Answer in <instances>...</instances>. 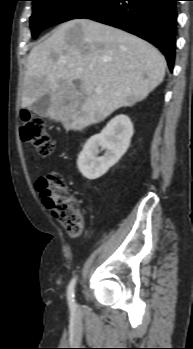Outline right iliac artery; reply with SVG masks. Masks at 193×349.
I'll return each mask as SVG.
<instances>
[{
    "mask_svg": "<svg viewBox=\"0 0 193 349\" xmlns=\"http://www.w3.org/2000/svg\"><path fill=\"white\" fill-rule=\"evenodd\" d=\"M75 284H76V277H74L71 282L68 285V290H67V299H68V304L69 308L71 311H75L76 309V304H75V295H74V289H75Z\"/></svg>",
    "mask_w": 193,
    "mask_h": 349,
    "instance_id": "82829eb1",
    "label": "right iliac artery"
}]
</instances>
